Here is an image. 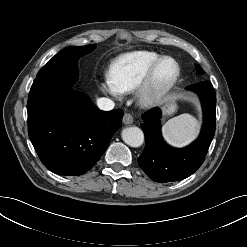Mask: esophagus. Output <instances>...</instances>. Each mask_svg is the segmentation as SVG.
I'll list each match as a JSON object with an SVG mask.
<instances>
[{"mask_svg": "<svg viewBox=\"0 0 247 247\" xmlns=\"http://www.w3.org/2000/svg\"><path fill=\"white\" fill-rule=\"evenodd\" d=\"M123 123L129 125L133 123V116L129 113H125L123 117Z\"/></svg>", "mask_w": 247, "mask_h": 247, "instance_id": "1", "label": "esophagus"}]
</instances>
